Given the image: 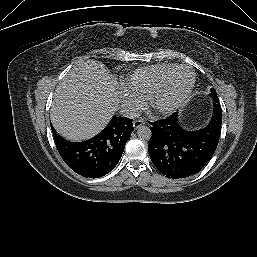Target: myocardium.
<instances>
[{
	"label": "myocardium",
	"mask_w": 257,
	"mask_h": 257,
	"mask_svg": "<svg viewBox=\"0 0 257 257\" xmlns=\"http://www.w3.org/2000/svg\"><path fill=\"white\" fill-rule=\"evenodd\" d=\"M179 70H187L191 74V80L189 85L183 91V93L177 96L176 98L165 102L162 101V96H163L167 81L175 72ZM195 83H196V74L192 68L186 65H177L173 67L162 76V78L159 80L156 87L152 91L151 95L149 96L148 101H149L150 108L159 114H167L174 111L175 109L180 107L183 103H185L186 100L190 97L195 87Z\"/></svg>",
	"instance_id": "obj_1"
}]
</instances>
